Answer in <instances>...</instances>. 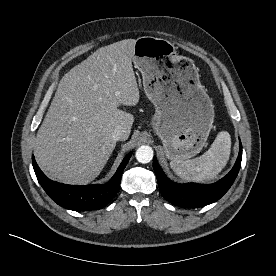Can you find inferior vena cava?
Segmentation results:
<instances>
[{
    "label": "inferior vena cava",
    "mask_w": 276,
    "mask_h": 276,
    "mask_svg": "<svg viewBox=\"0 0 276 276\" xmlns=\"http://www.w3.org/2000/svg\"><path fill=\"white\" fill-rule=\"evenodd\" d=\"M112 138L115 141L124 140L126 138L125 131L121 126L115 128V130L112 133Z\"/></svg>",
    "instance_id": "1"
}]
</instances>
